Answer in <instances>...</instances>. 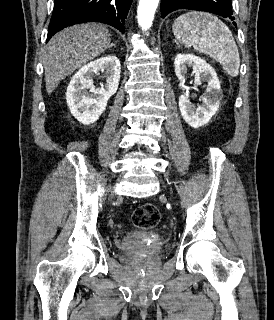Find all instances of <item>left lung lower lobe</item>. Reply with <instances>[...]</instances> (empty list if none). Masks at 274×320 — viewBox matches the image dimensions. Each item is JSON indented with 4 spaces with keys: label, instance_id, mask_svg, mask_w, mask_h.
<instances>
[{
    "label": "left lung lower lobe",
    "instance_id": "0a47b994",
    "mask_svg": "<svg viewBox=\"0 0 274 320\" xmlns=\"http://www.w3.org/2000/svg\"><path fill=\"white\" fill-rule=\"evenodd\" d=\"M178 9L212 12L224 18L235 19L231 0H161L160 11L163 18Z\"/></svg>",
    "mask_w": 274,
    "mask_h": 320
}]
</instances>
